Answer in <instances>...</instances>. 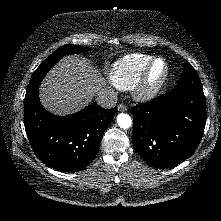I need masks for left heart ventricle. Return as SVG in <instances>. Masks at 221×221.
Masks as SVG:
<instances>
[{
  "mask_svg": "<svg viewBox=\"0 0 221 221\" xmlns=\"http://www.w3.org/2000/svg\"><path fill=\"white\" fill-rule=\"evenodd\" d=\"M163 71H164L163 62L162 61L156 62L151 72L150 76L151 82H155L156 80H158L162 75Z\"/></svg>",
  "mask_w": 221,
  "mask_h": 221,
  "instance_id": "left-heart-ventricle-1",
  "label": "left heart ventricle"
}]
</instances>
